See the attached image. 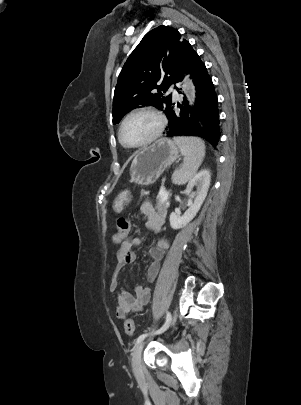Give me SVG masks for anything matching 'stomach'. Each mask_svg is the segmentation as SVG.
<instances>
[{
	"instance_id": "0dacf381",
	"label": "stomach",
	"mask_w": 301,
	"mask_h": 405,
	"mask_svg": "<svg viewBox=\"0 0 301 405\" xmlns=\"http://www.w3.org/2000/svg\"><path fill=\"white\" fill-rule=\"evenodd\" d=\"M178 146L168 138H162L140 150L130 166L131 182L142 186L153 184L166 167L178 157Z\"/></svg>"
}]
</instances>
